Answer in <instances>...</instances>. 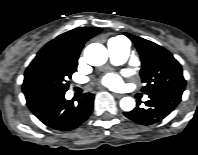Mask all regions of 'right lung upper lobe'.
<instances>
[{
	"mask_svg": "<svg viewBox=\"0 0 198 155\" xmlns=\"http://www.w3.org/2000/svg\"><path fill=\"white\" fill-rule=\"evenodd\" d=\"M98 27H81L63 33L46 44L38 54L60 53L79 56L84 43L101 32Z\"/></svg>",
	"mask_w": 198,
	"mask_h": 155,
	"instance_id": "obj_1",
	"label": "right lung upper lobe"
}]
</instances>
